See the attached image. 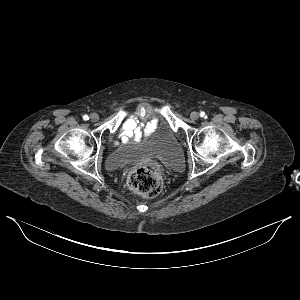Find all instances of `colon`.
<instances>
[{
  "instance_id": "colon-1",
  "label": "colon",
  "mask_w": 300,
  "mask_h": 300,
  "mask_svg": "<svg viewBox=\"0 0 300 300\" xmlns=\"http://www.w3.org/2000/svg\"><path fill=\"white\" fill-rule=\"evenodd\" d=\"M129 188L147 197H153L162 190V177L159 169L151 164H141L133 167L127 176Z\"/></svg>"
}]
</instances>
